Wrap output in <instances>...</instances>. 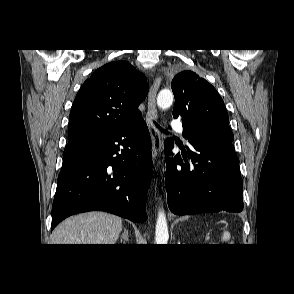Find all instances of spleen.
I'll return each mask as SVG.
<instances>
[{"label": "spleen", "instance_id": "1", "mask_svg": "<svg viewBox=\"0 0 294 294\" xmlns=\"http://www.w3.org/2000/svg\"><path fill=\"white\" fill-rule=\"evenodd\" d=\"M222 239L227 241L230 239V233L228 231H224Z\"/></svg>", "mask_w": 294, "mask_h": 294}]
</instances>
